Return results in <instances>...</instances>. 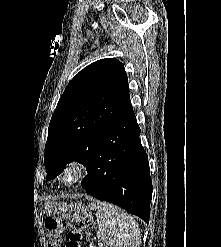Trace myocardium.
Listing matches in <instances>:
<instances>
[{
  "mask_svg": "<svg viewBox=\"0 0 221 247\" xmlns=\"http://www.w3.org/2000/svg\"><path fill=\"white\" fill-rule=\"evenodd\" d=\"M87 175V167L81 160L70 161L62 175L63 182L68 186L80 184Z\"/></svg>",
  "mask_w": 221,
  "mask_h": 247,
  "instance_id": "obj_1",
  "label": "myocardium"
}]
</instances>
